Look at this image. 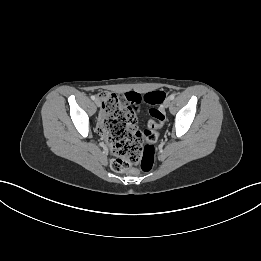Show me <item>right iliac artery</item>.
Returning <instances> with one entry per match:
<instances>
[{"label": "right iliac artery", "instance_id": "right-iliac-artery-1", "mask_svg": "<svg viewBox=\"0 0 261 261\" xmlns=\"http://www.w3.org/2000/svg\"><path fill=\"white\" fill-rule=\"evenodd\" d=\"M91 99H92V100H95V99H96L95 95H92V96H91Z\"/></svg>", "mask_w": 261, "mask_h": 261}]
</instances>
